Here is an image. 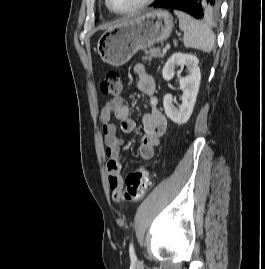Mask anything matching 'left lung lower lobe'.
Wrapping results in <instances>:
<instances>
[{
    "label": "left lung lower lobe",
    "instance_id": "1",
    "mask_svg": "<svg viewBox=\"0 0 265 269\" xmlns=\"http://www.w3.org/2000/svg\"><path fill=\"white\" fill-rule=\"evenodd\" d=\"M220 0H160L155 8L184 11L197 19L213 20L219 14Z\"/></svg>",
    "mask_w": 265,
    "mask_h": 269
}]
</instances>
